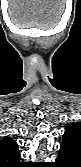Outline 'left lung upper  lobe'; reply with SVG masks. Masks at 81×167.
Here are the masks:
<instances>
[{
    "label": "left lung upper lobe",
    "instance_id": "1",
    "mask_svg": "<svg viewBox=\"0 0 81 167\" xmlns=\"http://www.w3.org/2000/svg\"><path fill=\"white\" fill-rule=\"evenodd\" d=\"M61 148L68 151L78 162L81 160V124L73 122L66 126Z\"/></svg>",
    "mask_w": 81,
    "mask_h": 167
}]
</instances>
